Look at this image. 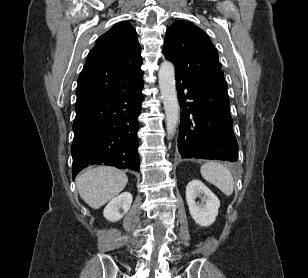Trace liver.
<instances>
[{
  "label": "liver",
  "mask_w": 308,
  "mask_h": 278,
  "mask_svg": "<svg viewBox=\"0 0 308 278\" xmlns=\"http://www.w3.org/2000/svg\"><path fill=\"white\" fill-rule=\"evenodd\" d=\"M127 182L125 172L111 166L89 167L76 178L81 198L93 209H99L116 197Z\"/></svg>",
  "instance_id": "1"
}]
</instances>
